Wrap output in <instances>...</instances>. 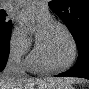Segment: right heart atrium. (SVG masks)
Segmentation results:
<instances>
[{"label":"right heart atrium","instance_id":"obj_1","mask_svg":"<svg viewBox=\"0 0 89 89\" xmlns=\"http://www.w3.org/2000/svg\"><path fill=\"white\" fill-rule=\"evenodd\" d=\"M31 39L19 28L15 27L10 37V51L17 57H23L31 51Z\"/></svg>","mask_w":89,"mask_h":89}]
</instances>
